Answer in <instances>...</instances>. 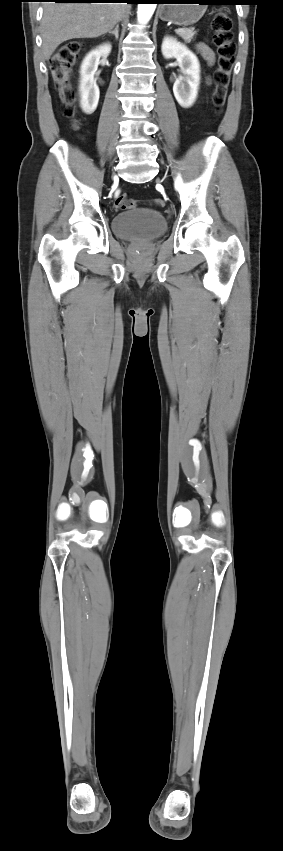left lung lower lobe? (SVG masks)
<instances>
[{
  "instance_id": "0a47b994",
  "label": "left lung lower lobe",
  "mask_w": 283,
  "mask_h": 851,
  "mask_svg": "<svg viewBox=\"0 0 283 851\" xmlns=\"http://www.w3.org/2000/svg\"><path fill=\"white\" fill-rule=\"evenodd\" d=\"M143 1H149V2H152V3L160 4V3H166L167 1H170V0H143ZM216 1L232 5V4H235V2H238L239 0H216Z\"/></svg>"
}]
</instances>
